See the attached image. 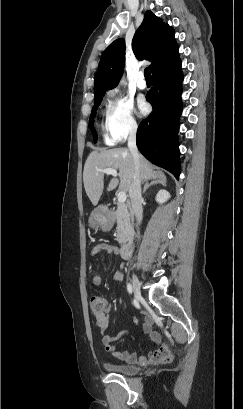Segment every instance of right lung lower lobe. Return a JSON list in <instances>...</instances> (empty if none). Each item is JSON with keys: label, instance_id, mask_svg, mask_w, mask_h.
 I'll use <instances>...</instances> for the list:
<instances>
[{"label": "right lung lower lobe", "instance_id": "1", "mask_svg": "<svg viewBox=\"0 0 243 409\" xmlns=\"http://www.w3.org/2000/svg\"><path fill=\"white\" fill-rule=\"evenodd\" d=\"M153 88L147 101L152 113L143 120L137 131V147L153 164L180 175L178 149L179 117L182 112L181 83L183 75L178 47L152 72Z\"/></svg>", "mask_w": 243, "mask_h": 409}]
</instances>
